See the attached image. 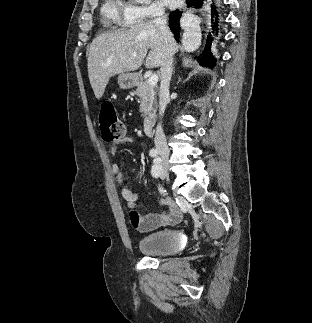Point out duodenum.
<instances>
[{
  "instance_id": "410a0bca",
  "label": "duodenum",
  "mask_w": 312,
  "mask_h": 323,
  "mask_svg": "<svg viewBox=\"0 0 312 323\" xmlns=\"http://www.w3.org/2000/svg\"><path fill=\"white\" fill-rule=\"evenodd\" d=\"M132 81L137 84L140 81L139 75H134ZM156 116L154 114L148 115L143 122V129L147 136H150L153 132V128L155 125Z\"/></svg>"
}]
</instances>
